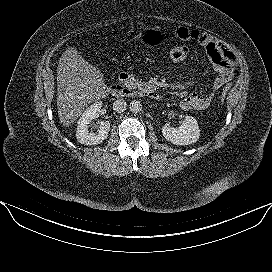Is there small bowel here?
<instances>
[{
  "label": "small bowel",
  "instance_id": "obj_1",
  "mask_svg": "<svg viewBox=\"0 0 272 272\" xmlns=\"http://www.w3.org/2000/svg\"><path fill=\"white\" fill-rule=\"evenodd\" d=\"M175 34L180 40H192L203 46L214 70L217 72L212 89L208 94L200 95L192 92L180 101V107L183 110H205L211 105L215 92L232 79L236 64L234 54L220 40L203 31L179 27Z\"/></svg>",
  "mask_w": 272,
  "mask_h": 272
}]
</instances>
